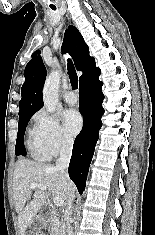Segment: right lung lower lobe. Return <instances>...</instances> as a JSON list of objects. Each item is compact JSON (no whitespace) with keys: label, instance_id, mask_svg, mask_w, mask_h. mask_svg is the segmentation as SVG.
I'll return each instance as SVG.
<instances>
[{"label":"right lung lower lobe","instance_id":"right-lung-lower-lobe-1","mask_svg":"<svg viewBox=\"0 0 155 235\" xmlns=\"http://www.w3.org/2000/svg\"><path fill=\"white\" fill-rule=\"evenodd\" d=\"M99 75L83 81L79 86V110L83 115V129L75 139L68 171L80 194L85 189L89 165L102 126L101 116L104 114V95L101 90L103 83L99 81Z\"/></svg>","mask_w":155,"mask_h":235}]
</instances>
